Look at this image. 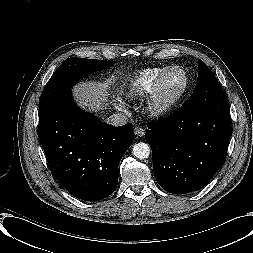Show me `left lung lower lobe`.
<instances>
[{"instance_id": "obj_1", "label": "left lung lower lobe", "mask_w": 253, "mask_h": 253, "mask_svg": "<svg viewBox=\"0 0 253 253\" xmlns=\"http://www.w3.org/2000/svg\"><path fill=\"white\" fill-rule=\"evenodd\" d=\"M158 184L174 194L203 188L224 164L230 138L225 92L202 103L189 98L167 118L148 125Z\"/></svg>"}]
</instances>
